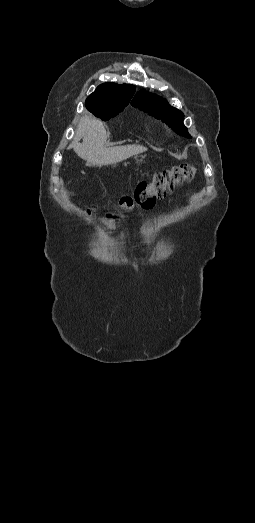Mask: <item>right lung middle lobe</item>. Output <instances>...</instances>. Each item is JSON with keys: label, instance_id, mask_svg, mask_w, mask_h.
Masks as SVG:
<instances>
[{"label": "right lung middle lobe", "instance_id": "1", "mask_svg": "<svg viewBox=\"0 0 255 523\" xmlns=\"http://www.w3.org/2000/svg\"><path fill=\"white\" fill-rule=\"evenodd\" d=\"M128 103H129V101L118 102V103L96 104V105H92V106H89L86 108L96 117L106 121V120H109L110 117H114L119 112H121L124 109V107L128 105Z\"/></svg>", "mask_w": 255, "mask_h": 523}]
</instances>
